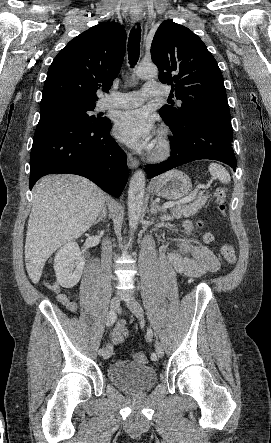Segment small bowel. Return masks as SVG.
I'll list each match as a JSON object with an SVG mask.
<instances>
[{
    "label": "small bowel",
    "instance_id": "small-bowel-1",
    "mask_svg": "<svg viewBox=\"0 0 271 443\" xmlns=\"http://www.w3.org/2000/svg\"><path fill=\"white\" fill-rule=\"evenodd\" d=\"M187 231L190 230V224L184 223ZM169 261L173 268L180 274L188 277H197L205 272H216L220 263L217 256L209 249L203 246H196L191 251V256H183L180 253L172 252L169 255ZM53 291L57 294L58 301L63 304L69 311L77 312L76 303L70 301L67 296L60 292L58 285L53 286ZM127 335V330L122 322L118 323L112 332V341L121 343Z\"/></svg>",
    "mask_w": 271,
    "mask_h": 443
}]
</instances>
